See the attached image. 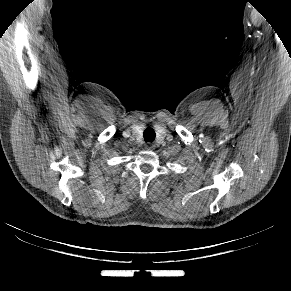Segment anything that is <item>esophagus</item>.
<instances>
[{
    "instance_id": "obj_1",
    "label": "esophagus",
    "mask_w": 291,
    "mask_h": 291,
    "mask_svg": "<svg viewBox=\"0 0 291 291\" xmlns=\"http://www.w3.org/2000/svg\"><path fill=\"white\" fill-rule=\"evenodd\" d=\"M145 148H146L147 150H152V149L154 148V145L151 144V143H148V144L145 145Z\"/></svg>"
}]
</instances>
